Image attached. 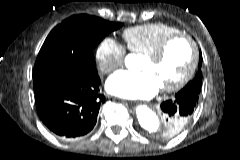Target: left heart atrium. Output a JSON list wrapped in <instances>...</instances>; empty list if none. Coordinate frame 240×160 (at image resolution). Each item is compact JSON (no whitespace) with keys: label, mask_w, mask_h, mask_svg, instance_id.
<instances>
[{"label":"left heart atrium","mask_w":240,"mask_h":160,"mask_svg":"<svg viewBox=\"0 0 240 160\" xmlns=\"http://www.w3.org/2000/svg\"><path fill=\"white\" fill-rule=\"evenodd\" d=\"M107 90L114 95L129 99H147L158 93L160 85L150 72L120 70L107 81Z\"/></svg>","instance_id":"39dd6f15"}]
</instances>
